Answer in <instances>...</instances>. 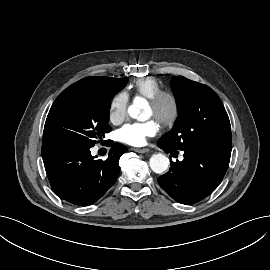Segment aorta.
Here are the masks:
<instances>
[{
  "instance_id": "aorta-1",
  "label": "aorta",
  "mask_w": 270,
  "mask_h": 270,
  "mask_svg": "<svg viewBox=\"0 0 270 270\" xmlns=\"http://www.w3.org/2000/svg\"><path fill=\"white\" fill-rule=\"evenodd\" d=\"M147 108V102L143 98H135L133 101V104L129 106L128 108V113L130 117L137 119L139 121H145L148 119L147 114L144 112L145 109ZM150 168L152 169L153 172L157 174H161L165 172L168 167H169V159L161 154L157 153L152 155L150 158Z\"/></svg>"
}]
</instances>
